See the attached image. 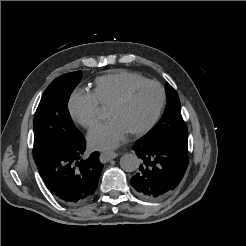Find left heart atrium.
Instances as JSON below:
<instances>
[{
  "mask_svg": "<svg viewBox=\"0 0 246 246\" xmlns=\"http://www.w3.org/2000/svg\"><path fill=\"white\" fill-rule=\"evenodd\" d=\"M128 133L126 127L115 118L93 128L88 135L90 145L99 150L117 147Z\"/></svg>",
  "mask_w": 246,
  "mask_h": 246,
  "instance_id": "39dd6f15",
  "label": "left heart atrium"
}]
</instances>
